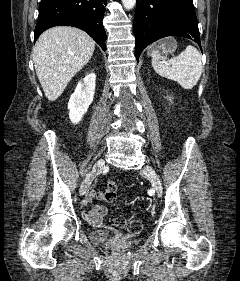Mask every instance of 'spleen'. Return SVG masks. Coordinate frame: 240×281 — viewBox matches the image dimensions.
Masks as SVG:
<instances>
[{"label": "spleen", "instance_id": "1", "mask_svg": "<svg viewBox=\"0 0 240 281\" xmlns=\"http://www.w3.org/2000/svg\"><path fill=\"white\" fill-rule=\"evenodd\" d=\"M162 43L159 48H164ZM152 66L157 74L176 81L184 89H192L202 74V61L199 51L189 45L178 56L166 60L157 48L151 52Z\"/></svg>", "mask_w": 240, "mask_h": 281}]
</instances>
